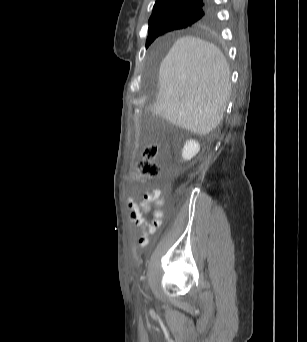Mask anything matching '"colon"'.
Segmentation results:
<instances>
[{
    "mask_svg": "<svg viewBox=\"0 0 307 342\" xmlns=\"http://www.w3.org/2000/svg\"><path fill=\"white\" fill-rule=\"evenodd\" d=\"M159 153L160 147L156 143H150L144 147L142 157L136 168L135 177L137 180H150L159 175L160 165L156 162Z\"/></svg>",
    "mask_w": 307,
    "mask_h": 342,
    "instance_id": "obj_1",
    "label": "colon"
}]
</instances>
